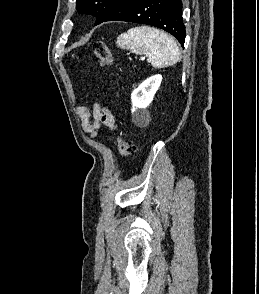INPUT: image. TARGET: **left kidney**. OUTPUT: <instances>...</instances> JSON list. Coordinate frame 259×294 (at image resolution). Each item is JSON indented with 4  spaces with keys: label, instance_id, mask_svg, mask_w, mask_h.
Listing matches in <instances>:
<instances>
[{
    "label": "left kidney",
    "instance_id": "5707ae66",
    "mask_svg": "<svg viewBox=\"0 0 259 294\" xmlns=\"http://www.w3.org/2000/svg\"><path fill=\"white\" fill-rule=\"evenodd\" d=\"M161 75H154L143 81L131 94L132 114L137 119L139 113L146 109L153 101L154 95L160 87Z\"/></svg>",
    "mask_w": 259,
    "mask_h": 294
}]
</instances>
